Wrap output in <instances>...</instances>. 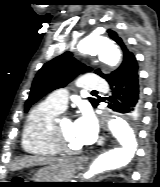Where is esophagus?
<instances>
[{
	"instance_id": "1",
	"label": "esophagus",
	"mask_w": 160,
	"mask_h": 187,
	"mask_svg": "<svg viewBox=\"0 0 160 187\" xmlns=\"http://www.w3.org/2000/svg\"><path fill=\"white\" fill-rule=\"evenodd\" d=\"M78 160H79L80 162H82V163H85V162L87 161V157L84 156V155H81V156L78 157Z\"/></svg>"
}]
</instances>
